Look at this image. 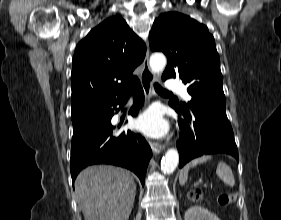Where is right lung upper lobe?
Returning <instances> with one entry per match:
<instances>
[{
    "instance_id": "right-lung-upper-lobe-1",
    "label": "right lung upper lobe",
    "mask_w": 281,
    "mask_h": 220,
    "mask_svg": "<svg viewBox=\"0 0 281 220\" xmlns=\"http://www.w3.org/2000/svg\"><path fill=\"white\" fill-rule=\"evenodd\" d=\"M145 54L143 41L119 16L92 29L73 57L72 120L126 97L138 83L133 71Z\"/></svg>"
}]
</instances>
